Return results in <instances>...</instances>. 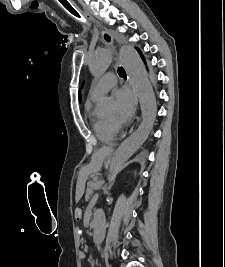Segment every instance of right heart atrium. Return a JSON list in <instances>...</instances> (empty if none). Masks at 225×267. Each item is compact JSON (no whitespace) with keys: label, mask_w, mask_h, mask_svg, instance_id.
Returning a JSON list of instances; mask_svg holds the SVG:
<instances>
[{"label":"right heart atrium","mask_w":225,"mask_h":267,"mask_svg":"<svg viewBox=\"0 0 225 267\" xmlns=\"http://www.w3.org/2000/svg\"><path fill=\"white\" fill-rule=\"evenodd\" d=\"M109 126L114 132L117 130V126L114 122H109Z\"/></svg>","instance_id":"obj_1"}]
</instances>
